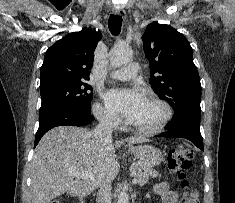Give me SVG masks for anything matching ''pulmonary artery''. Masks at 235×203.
I'll use <instances>...</instances> for the list:
<instances>
[{
  "mask_svg": "<svg viewBox=\"0 0 235 203\" xmlns=\"http://www.w3.org/2000/svg\"><path fill=\"white\" fill-rule=\"evenodd\" d=\"M139 70L137 63H130L126 67L115 70L110 73V77L116 80L126 81L136 77Z\"/></svg>",
  "mask_w": 235,
  "mask_h": 203,
  "instance_id": "1",
  "label": "pulmonary artery"
}]
</instances>
